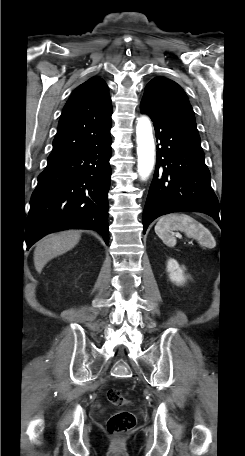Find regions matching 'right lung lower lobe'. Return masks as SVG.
<instances>
[{
  "label": "right lung lower lobe",
  "instance_id": "obj_1",
  "mask_svg": "<svg viewBox=\"0 0 245 456\" xmlns=\"http://www.w3.org/2000/svg\"><path fill=\"white\" fill-rule=\"evenodd\" d=\"M111 143L109 129L88 148L47 163L30 200L27 249L46 234L69 228L96 230L109 243Z\"/></svg>",
  "mask_w": 245,
  "mask_h": 456
}]
</instances>
